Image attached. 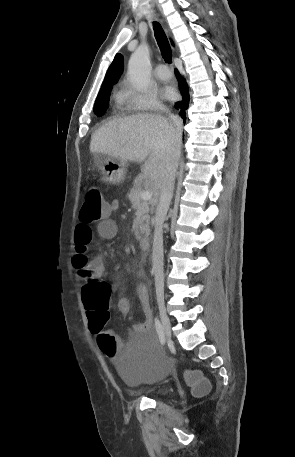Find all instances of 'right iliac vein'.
I'll list each match as a JSON object with an SVG mask.
<instances>
[{
  "label": "right iliac vein",
  "instance_id": "right-iliac-vein-1",
  "mask_svg": "<svg viewBox=\"0 0 295 457\" xmlns=\"http://www.w3.org/2000/svg\"><path fill=\"white\" fill-rule=\"evenodd\" d=\"M159 316L162 323L163 332L167 339L171 338V324L163 302L158 303Z\"/></svg>",
  "mask_w": 295,
  "mask_h": 457
}]
</instances>
